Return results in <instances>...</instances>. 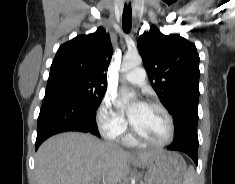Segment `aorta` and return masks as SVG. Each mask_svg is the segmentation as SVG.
<instances>
[{"instance_id": "1", "label": "aorta", "mask_w": 235, "mask_h": 184, "mask_svg": "<svg viewBox=\"0 0 235 184\" xmlns=\"http://www.w3.org/2000/svg\"><path fill=\"white\" fill-rule=\"evenodd\" d=\"M142 60L139 54H127L124 56L121 72H129V70H133V68H137V66H141ZM121 96L123 98V102L127 104L129 98H134L135 94H128L125 90H121Z\"/></svg>"}]
</instances>
